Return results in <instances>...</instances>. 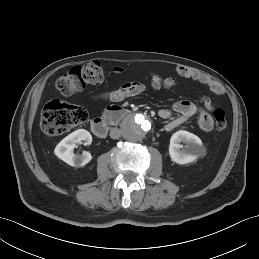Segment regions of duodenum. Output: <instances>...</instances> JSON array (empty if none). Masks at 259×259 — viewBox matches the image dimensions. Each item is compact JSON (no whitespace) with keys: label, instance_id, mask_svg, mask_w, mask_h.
Listing matches in <instances>:
<instances>
[{"label":"duodenum","instance_id":"duodenum-1","mask_svg":"<svg viewBox=\"0 0 259 259\" xmlns=\"http://www.w3.org/2000/svg\"><path fill=\"white\" fill-rule=\"evenodd\" d=\"M131 112L117 105H110L106 108L102 117L96 118L91 123L93 134L99 138H104L109 130L111 122L117 121L121 117L129 116Z\"/></svg>","mask_w":259,"mask_h":259}]
</instances>
